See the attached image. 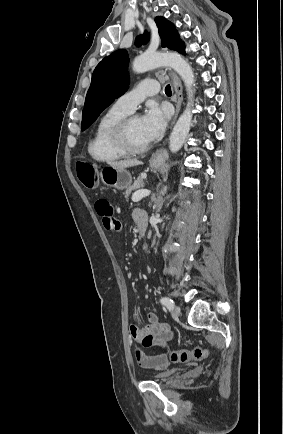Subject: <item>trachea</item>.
I'll return each mask as SVG.
<instances>
[{
	"instance_id": "trachea-1",
	"label": "trachea",
	"mask_w": 283,
	"mask_h": 434,
	"mask_svg": "<svg viewBox=\"0 0 283 434\" xmlns=\"http://www.w3.org/2000/svg\"><path fill=\"white\" fill-rule=\"evenodd\" d=\"M165 93H166L167 95H170V94H171V87H170V85H167V86L165 87Z\"/></svg>"
}]
</instances>
